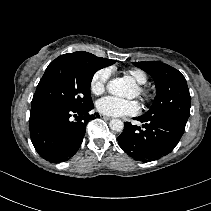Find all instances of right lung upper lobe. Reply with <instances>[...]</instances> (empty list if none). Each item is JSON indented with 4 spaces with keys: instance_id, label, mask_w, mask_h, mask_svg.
Masks as SVG:
<instances>
[{
    "instance_id": "1",
    "label": "right lung upper lobe",
    "mask_w": 211,
    "mask_h": 211,
    "mask_svg": "<svg viewBox=\"0 0 211 211\" xmlns=\"http://www.w3.org/2000/svg\"><path fill=\"white\" fill-rule=\"evenodd\" d=\"M64 55L93 58V59L101 62L102 64L106 65V67L112 65L113 63H115L114 60L105 59V58H101V57H96L95 55L87 53V52H74V53H68V54H64Z\"/></svg>"
}]
</instances>
